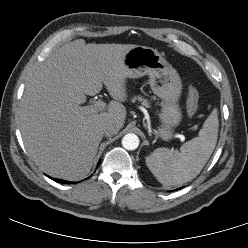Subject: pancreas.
<instances>
[{
	"label": "pancreas",
	"instance_id": "1",
	"mask_svg": "<svg viewBox=\"0 0 248 248\" xmlns=\"http://www.w3.org/2000/svg\"><path fill=\"white\" fill-rule=\"evenodd\" d=\"M136 100L139 101L143 106H145L147 108L150 107L149 101L142 98L141 96H137V97L132 98V102H135Z\"/></svg>",
	"mask_w": 248,
	"mask_h": 248
}]
</instances>
